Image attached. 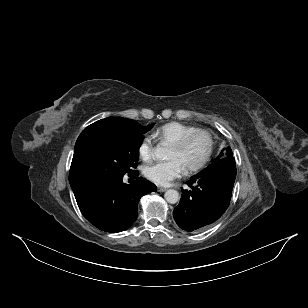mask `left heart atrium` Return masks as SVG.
Here are the masks:
<instances>
[{
	"instance_id": "obj_1",
	"label": "left heart atrium",
	"mask_w": 308,
	"mask_h": 308,
	"mask_svg": "<svg viewBox=\"0 0 308 308\" xmlns=\"http://www.w3.org/2000/svg\"><path fill=\"white\" fill-rule=\"evenodd\" d=\"M186 168L182 162L176 158L165 162H157L145 167L146 178L158 185H168L173 180L182 176Z\"/></svg>"
}]
</instances>
